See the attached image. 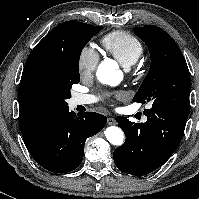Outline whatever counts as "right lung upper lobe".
<instances>
[{"label": "right lung upper lobe", "mask_w": 199, "mask_h": 199, "mask_svg": "<svg viewBox=\"0 0 199 199\" xmlns=\"http://www.w3.org/2000/svg\"><path fill=\"white\" fill-rule=\"evenodd\" d=\"M49 38V33L36 45L26 60L22 73L19 90V125L24 141L33 137V135L44 128L49 120L61 109L46 105L35 100L26 90V78L29 69L36 58L40 55L44 44Z\"/></svg>", "instance_id": "right-lung-upper-lobe-1"}]
</instances>
